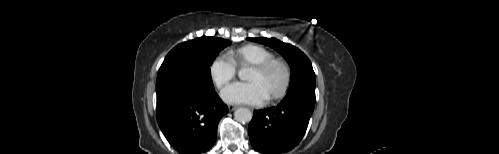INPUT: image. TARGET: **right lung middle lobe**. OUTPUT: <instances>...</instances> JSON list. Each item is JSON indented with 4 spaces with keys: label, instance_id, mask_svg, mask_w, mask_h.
<instances>
[{
    "label": "right lung middle lobe",
    "instance_id": "1",
    "mask_svg": "<svg viewBox=\"0 0 499 154\" xmlns=\"http://www.w3.org/2000/svg\"><path fill=\"white\" fill-rule=\"evenodd\" d=\"M231 42L202 36L177 45L166 56L156 81V93L183 89L195 92L214 90L210 66L218 53Z\"/></svg>",
    "mask_w": 499,
    "mask_h": 154
}]
</instances>
